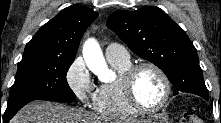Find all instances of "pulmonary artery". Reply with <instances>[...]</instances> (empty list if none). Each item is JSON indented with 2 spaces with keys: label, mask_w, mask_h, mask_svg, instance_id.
<instances>
[{
  "label": "pulmonary artery",
  "mask_w": 221,
  "mask_h": 123,
  "mask_svg": "<svg viewBox=\"0 0 221 123\" xmlns=\"http://www.w3.org/2000/svg\"><path fill=\"white\" fill-rule=\"evenodd\" d=\"M105 55L108 61H128L130 55L128 51L120 44L110 43L105 49Z\"/></svg>",
  "instance_id": "1"
}]
</instances>
